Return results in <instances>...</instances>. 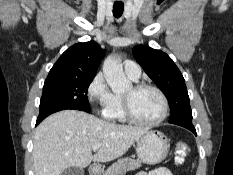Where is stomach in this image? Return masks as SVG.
<instances>
[{
    "instance_id": "obj_1",
    "label": "stomach",
    "mask_w": 233,
    "mask_h": 175,
    "mask_svg": "<svg viewBox=\"0 0 233 175\" xmlns=\"http://www.w3.org/2000/svg\"><path fill=\"white\" fill-rule=\"evenodd\" d=\"M170 143L160 131H147L137 140V155L139 159L150 165L162 162L168 155Z\"/></svg>"
}]
</instances>
